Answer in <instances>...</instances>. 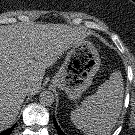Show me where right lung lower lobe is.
I'll use <instances>...</instances> for the list:
<instances>
[{"label":"right lung lower lobe","mask_w":135,"mask_h":135,"mask_svg":"<svg viewBox=\"0 0 135 135\" xmlns=\"http://www.w3.org/2000/svg\"><path fill=\"white\" fill-rule=\"evenodd\" d=\"M16 125V124H15ZM14 125V126H15ZM14 126L13 127H11L10 129H8V130H6V131H4V132H1L0 133V135H9L11 132H12V130H13V128H14Z\"/></svg>","instance_id":"1"}]
</instances>
